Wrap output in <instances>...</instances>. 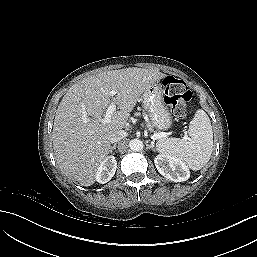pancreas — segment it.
<instances>
[{"mask_svg":"<svg viewBox=\"0 0 257 257\" xmlns=\"http://www.w3.org/2000/svg\"><path fill=\"white\" fill-rule=\"evenodd\" d=\"M136 115H139V113H136ZM147 127L149 128L150 131H153L152 129L153 126L150 123H147Z\"/></svg>","mask_w":257,"mask_h":257,"instance_id":"pancreas-1","label":"pancreas"}]
</instances>
